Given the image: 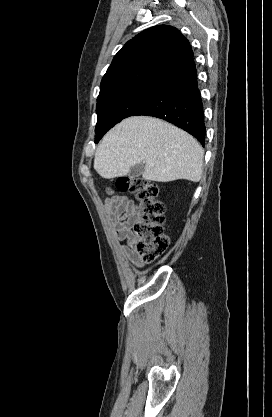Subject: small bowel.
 <instances>
[{
	"instance_id": "small-bowel-1",
	"label": "small bowel",
	"mask_w": 272,
	"mask_h": 417,
	"mask_svg": "<svg viewBox=\"0 0 272 417\" xmlns=\"http://www.w3.org/2000/svg\"><path fill=\"white\" fill-rule=\"evenodd\" d=\"M108 197L104 202V212L112 224L115 236L119 241H126L121 245L120 251L124 258L133 265L141 267L143 260L136 250L135 239L131 232V225L137 213L135 203L129 198L116 195L111 189H107Z\"/></svg>"
}]
</instances>
